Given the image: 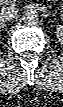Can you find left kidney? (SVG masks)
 I'll return each mask as SVG.
<instances>
[{"instance_id":"left-kidney-1","label":"left kidney","mask_w":63,"mask_h":107,"mask_svg":"<svg viewBox=\"0 0 63 107\" xmlns=\"http://www.w3.org/2000/svg\"><path fill=\"white\" fill-rule=\"evenodd\" d=\"M56 35H57L59 41L62 43L63 42V26L57 27Z\"/></svg>"}]
</instances>
